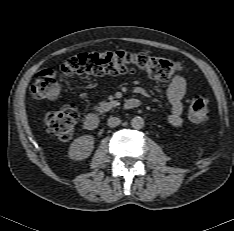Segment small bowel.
Segmentation results:
<instances>
[{
	"instance_id": "1",
	"label": "small bowel",
	"mask_w": 234,
	"mask_h": 231,
	"mask_svg": "<svg viewBox=\"0 0 234 231\" xmlns=\"http://www.w3.org/2000/svg\"><path fill=\"white\" fill-rule=\"evenodd\" d=\"M186 92V82L180 75H175L167 88V99L171 104L169 123L173 127H180L183 123V100Z\"/></svg>"
}]
</instances>
